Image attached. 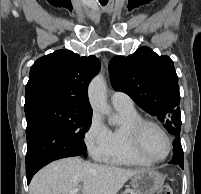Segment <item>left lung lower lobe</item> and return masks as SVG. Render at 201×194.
Returning <instances> with one entry per match:
<instances>
[{
  "label": "left lung lower lobe",
  "instance_id": "0a47b994",
  "mask_svg": "<svg viewBox=\"0 0 201 194\" xmlns=\"http://www.w3.org/2000/svg\"><path fill=\"white\" fill-rule=\"evenodd\" d=\"M173 157L170 164L179 165L183 169V150L180 144V135L174 136Z\"/></svg>",
  "mask_w": 201,
  "mask_h": 194
}]
</instances>
